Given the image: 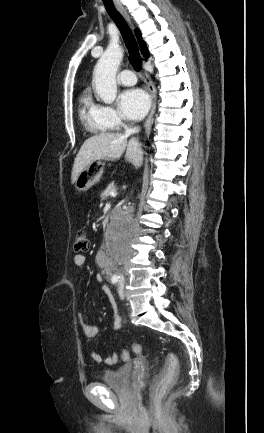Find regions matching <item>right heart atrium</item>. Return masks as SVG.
<instances>
[{
  "label": "right heart atrium",
  "instance_id": "1",
  "mask_svg": "<svg viewBox=\"0 0 264 433\" xmlns=\"http://www.w3.org/2000/svg\"><path fill=\"white\" fill-rule=\"evenodd\" d=\"M100 114L107 125L118 128L123 125L121 115L113 107L108 105H98Z\"/></svg>",
  "mask_w": 264,
  "mask_h": 433
}]
</instances>
